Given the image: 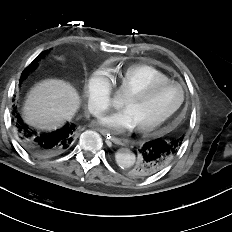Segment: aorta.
Segmentation results:
<instances>
[{
  "instance_id": "762f6f07",
  "label": "aorta",
  "mask_w": 232,
  "mask_h": 232,
  "mask_svg": "<svg viewBox=\"0 0 232 232\" xmlns=\"http://www.w3.org/2000/svg\"><path fill=\"white\" fill-rule=\"evenodd\" d=\"M118 99H114V104L118 105ZM116 163L121 168H130L134 165L136 156L135 154L130 151L129 149H119L115 154Z\"/></svg>"
}]
</instances>
